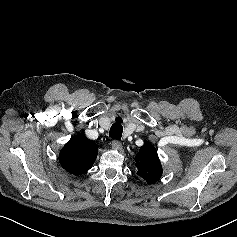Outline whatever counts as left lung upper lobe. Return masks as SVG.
<instances>
[{"label": "left lung upper lobe", "instance_id": "1", "mask_svg": "<svg viewBox=\"0 0 237 237\" xmlns=\"http://www.w3.org/2000/svg\"><path fill=\"white\" fill-rule=\"evenodd\" d=\"M138 174L146 180L148 184L157 182L162 175V167L158 154L153 145L147 143L143 145L135 157Z\"/></svg>", "mask_w": 237, "mask_h": 237}]
</instances>
